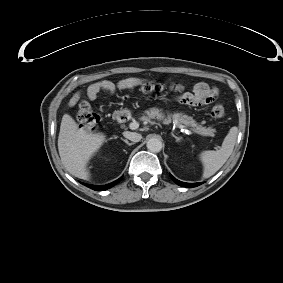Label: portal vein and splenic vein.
I'll return each instance as SVG.
<instances>
[{"instance_id": "1", "label": "portal vein and splenic vein", "mask_w": 283, "mask_h": 283, "mask_svg": "<svg viewBox=\"0 0 283 283\" xmlns=\"http://www.w3.org/2000/svg\"><path fill=\"white\" fill-rule=\"evenodd\" d=\"M130 127L131 128H134V127H138V124L136 123V122H132L131 124H130ZM180 127H183L182 125L180 126Z\"/></svg>"}]
</instances>
